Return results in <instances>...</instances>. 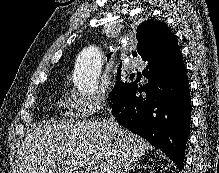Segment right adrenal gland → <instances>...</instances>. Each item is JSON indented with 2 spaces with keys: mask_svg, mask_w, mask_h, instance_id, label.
I'll use <instances>...</instances> for the list:
<instances>
[{
  "mask_svg": "<svg viewBox=\"0 0 219 173\" xmlns=\"http://www.w3.org/2000/svg\"><path fill=\"white\" fill-rule=\"evenodd\" d=\"M138 164H134L130 169H128L125 173H129L131 170H134L135 167H138ZM140 167V166H139Z\"/></svg>",
  "mask_w": 219,
  "mask_h": 173,
  "instance_id": "2a0ac1e0",
  "label": "right adrenal gland"
}]
</instances>
